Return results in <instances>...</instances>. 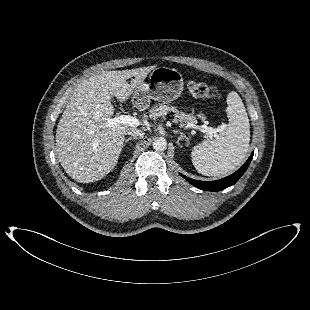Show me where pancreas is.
<instances>
[{"label":"pancreas","instance_id":"cf45deb5","mask_svg":"<svg viewBox=\"0 0 310 310\" xmlns=\"http://www.w3.org/2000/svg\"><path fill=\"white\" fill-rule=\"evenodd\" d=\"M150 118L156 119L166 113L174 112V122L180 123L182 125L184 124H194L196 123V119L192 114H186L184 112H179L178 109L175 106L170 105H156L154 106L150 111Z\"/></svg>","mask_w":310,"mask_h":310}]
</instances>
